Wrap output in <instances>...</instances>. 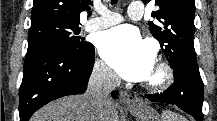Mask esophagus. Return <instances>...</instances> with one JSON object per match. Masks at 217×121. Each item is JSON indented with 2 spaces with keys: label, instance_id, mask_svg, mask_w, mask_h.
Segmentation results:
<instances>
[{
  "label": "esophagus",
  "instance_id": "34e87169",
  "mask_svg": "<svg viewBox=\"0 0 217 121\" xmlns=\"http://www.w3.org/2000/svg\"><path fill=\"white\" fill-rule=\"evenodd\" d=\"M120 101L126 106H135L136 102L131 94L126 91L120 92Z\"/></svg>",
  "mask_w": 217,
  "mask_h": 121
}]
</instances>
